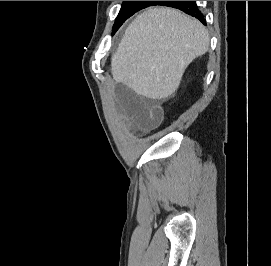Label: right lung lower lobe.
Segmentation results:
<instances>
[{
    "mask_svg": "<svg viewBox=\"0 0 271 266\" xmlns=\"http://www.w3.org/2000/svg\"><path fill=\"white\" fill-rule=\"evenodd\" d=\"M156 5L178 8L185 13L199 19L203 24H206L202 13L199 11L196 5V1H159Z\"/></svg>",
    "mask_w": 271,
    "mask_h": 266,
    "instance_id": "1",
    "label": "right lung lower lobe"
}]
</instances>
